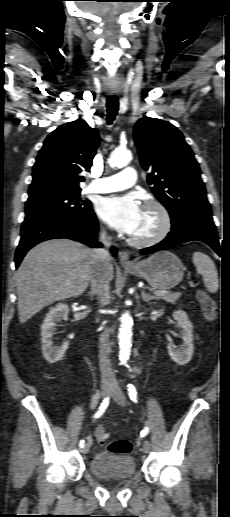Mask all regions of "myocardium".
Here are the masks:
<instances>
[{
    "label": "myocardium",
    "instance_id": "1",
    "mask_svg": "<svg viewBox=\"0 0 230 517\" xmlns=\"http://www.w3.org/2000/svg\"><path fill=\"white\" fill-rule=\"evenodd\" d=\"M143 208L154 209L160 219L159 227L155 233L148 237L138 238L130 236L129 241L137 247H147L155 245L164 240L172 230L173 221L168 208L157 199H149L145 201Z\"/></svg>",
    "mask_w": 230,
    "mask_h": 517
}]
</instances>
